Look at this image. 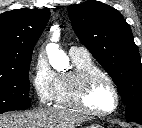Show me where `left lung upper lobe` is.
<instances>
[{"mask_svg":"<svg viewBox=\"0 0 142 128\" xmlns=\"http://www.w3.org/2000/svg\"><path fill=\"white\" fill-rule=\"evenodd\" d=\"M80 42L104 67L126 105V121L142 125V64L130 26L118 10L88 0L68 8Z\"/></svg>","mask_w":142,"mask_h":128,"instance_id":"1","label":"left lung upper lobe"}]
</instances>
